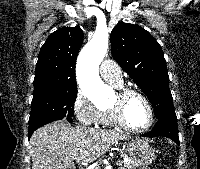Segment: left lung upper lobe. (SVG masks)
<instances>
[{
  "instance_id": "left-lung-upper-lobe-1",
  "label": "left lung upper lobe",
  "mask_w": 200,
  "mask_h": 169,
  "mask_svg": "<svg viewBox=\"0 0 200 169\" xmlns=\"http://www.w3.org/2000/svg\"><path fill=\"white\" fill-rule=\"evenodd\" d=\"M113 58L143 90L157 119L176 118L161 46L140 26L119 23L110 35Z\"/></svg>"
}]
</instances>
